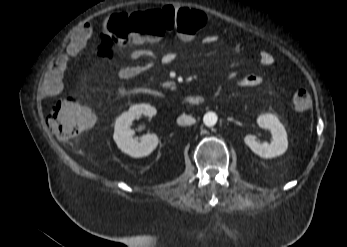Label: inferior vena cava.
Segmentation results:
<instances>
[{
	"mask_svg": "<svg viewBox=\"0 0 347 247\" xmlns=\"http://www.w3.org/2000/svg\"><path fill=\"white\" fill-rule=\"evenodd\" d=\"M177 123L181 126H187L195 123V119L188 115H181L177 118Z\"/></svg>",
	"mask_w": 347,
	"mask_h": 247,
	"instance_id": "inferior-vena-cava-1",
	"label": "inferior vena cava"
}]
</instances>
